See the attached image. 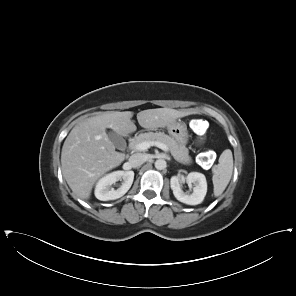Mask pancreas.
Masks as SVG:
<instances>
[{
    "label": "pancreas",
    "instance_id": "pancreas-1",
    "mask_svg": "<svg viewBox=\"0 0 296 296\" xmlns=\"http://www.w3.org/2000/svg\"><path fill=\"white\" fill-rule=\"evenodd\" d=\"M144 141L161 142L168 147L176 161L184 165H190L192 163V158L189 156V150L186 148V146L184 144L178 143L172 137L162 132L141 133L133 139L132 146L136 147L137 144L142 143Z\"/></svg>",
    "mask_w": 296,
    "mask_h": 296
}]
</instances>
